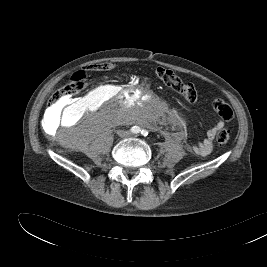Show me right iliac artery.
<instances>
[{
  "instance_id": "1",
  "label": "right iliac artery",
  "mask_w": 267,
  "mask_h": 267,
  "mask_svg": "<svg viewBox=\"0 0 267 267\" xmlns=\"http://www.w3.org/2000/svg\"><path fill=\"white\" fill-rule=\"evenodd\" d=\"M131 132L134 133V134H138V133L141 132V129H140L139 126H133V127L131 128Z\"/></svg>"
}]
</instances>
